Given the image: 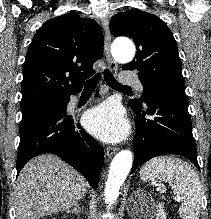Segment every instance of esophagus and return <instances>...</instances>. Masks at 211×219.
<instances>
[{
    "instance_id": "esophagus-1",
    "label": "esophagus",
    "mask_w": 211,
    "mask_h": 219,
    "mask_svg": "<svg viewBox=\"0 0 211 219\" xmlns=\"http://www.w3.org/2000/svg\"><path fill=\"white\" fill-rule=\"evenodd\" d=\"M102 26L105 33V44H104V50H105V57L108 62L109 68L111 71L117 70V63L113 60L111 53H110V45H111V34L109 31V21L107 18L102 19ZM118 151L117 147L109 146L107 147L106 154L108 157H111Z\"/></svg>"
}]
</instances>
